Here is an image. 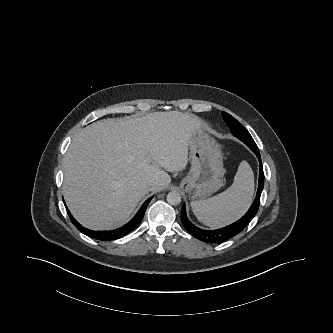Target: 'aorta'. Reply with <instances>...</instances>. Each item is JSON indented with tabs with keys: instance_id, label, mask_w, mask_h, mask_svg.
Masks as SVG:
<instances>
[{
	"instance_id": "obj_1",
	"label": "aorta",
	"mask_w": 333,
	"mask_h": 333,
	"mask_svg": "<svg viewBox=\"0 0 333 333\" xmlns=\"http://www.w3.org/2000/svg\"><path fill=\"white\" fill-rule=\"evenodd\" d=\"M167 202L173 206L179 205L181 203V195L175 191L169 192L167 195Z\"/></svg>"
}]
</instances>
